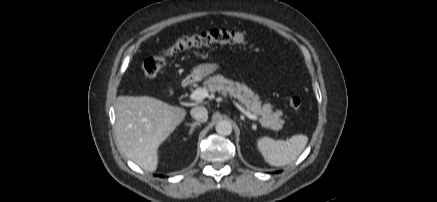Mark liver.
I'll list each match as a JSON object with an SVG mask.
<instances>
[{"mask_svg":"<svg viewBox=\"0 0 437 202\" xmlns=\"http://www.w3.org/2000/svg\"><path fill=\"white\" fill-rule=\"evenodd\" d=\"M115 133L127 158L146 171L158 165V148L185 119L187 111L148 96H118Z\"/></svg>","mask_w":437,"mask_h":202,"instance_id":"obj_1","label":"liver"}]
</instances>
